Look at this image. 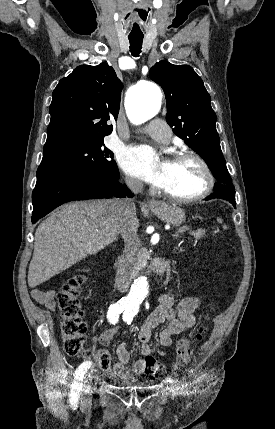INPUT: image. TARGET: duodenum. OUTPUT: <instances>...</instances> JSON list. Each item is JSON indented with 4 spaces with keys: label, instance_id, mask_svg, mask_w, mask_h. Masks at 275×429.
<instances>
[{
    "label": "duodenum",
    "instance_id": "410a0bca",
    "mask_svg": "<svg viewBox=\"0 0 275 429\" xmlns=\"http://www.w3.org/2000/svg\"><path fill=\"white\" fill-rule=\"evenodd\" d=\"M165 267H166V264L163 261H159L155 265L154 271H155V275H156L157 280L163 274ZM115 269H116V275H117L118 288L121 291H125L129 287L131 278H130V275L126 269L125 260L123 257H119L116 260Z\"/></svg>",
    "mask_w": 275,
    "mask_h": 429
}]
</instances>
